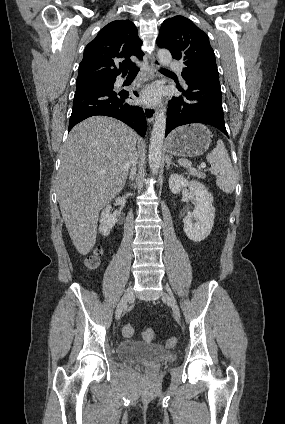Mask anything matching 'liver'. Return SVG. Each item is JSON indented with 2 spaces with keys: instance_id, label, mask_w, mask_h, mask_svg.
<instances>
[{
  "instance_id": "obj_1",
  "label": "liver",
  "mask_w": 285,
  "mask_h": 424,
  "mask_svg": "<svg viewBox=\"0 0 285 424\" xmlns=\"http://www.w3.org/2000/svg\"><path fill=\"white\" fill-rule=\"evenodd\" d=\"M140 138L123 122L93 116L76 125L60 149L57 196L81 255L96 243L100 210L123 189Z\"/></svg>"
}]
</instances>
